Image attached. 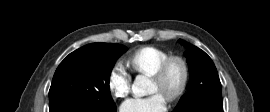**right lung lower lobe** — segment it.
I'll use <instances>...</instances> for the list:
<instances>
[{"mask_svg":"<svg viewBox=\"0 0 270 112\" xmlns=\"http://www.w3.org/2000/svg\"><path fill=\"white\" fill-rule=\"evenodd\" d=\"M49 112H116V106L102 107L90 101H80L50 106Z\"/></svg>","mask_w":270,"mask_h":112,"instance_id":"right-lung-lower-lobe-1","label":"right lung lower lobe"}]
</instances>
